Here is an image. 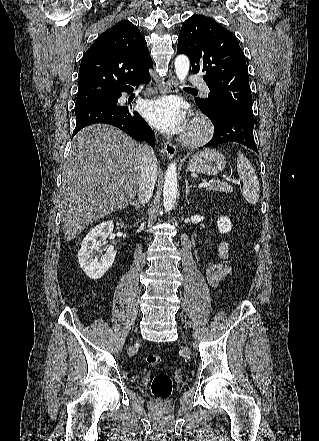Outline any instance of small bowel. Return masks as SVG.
<instances>
[{
    "mask_svg": "<svg viewBox=\"0 0 319 441\" xmlns=\"http://www.w3.org/2000/svg\"><path fill=\"white\" fill-rule=\"evenodd\" d=\"M220 257L226 259L228 257V243L222 242L219 246ZM230 269L222 264H214L206 271V277L209 284L217 287L229 274Z\"/></svg>",
    "mask_w": 319,
    "mask_h": 441,
    "instance_id": "small-bowel-1",
    "label": "small bowel"
}]
</instances>
